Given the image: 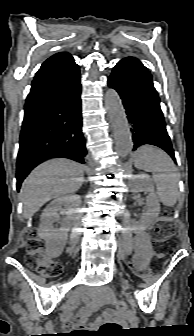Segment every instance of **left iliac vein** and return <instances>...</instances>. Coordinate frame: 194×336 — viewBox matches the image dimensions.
Masks as SVG:
<instances>
[{
	"instance_id": "left-iliac-vein-1",
	"label": "left iliac vein",
	"mask_w": 194,
	"mask_h": 336,
	"mask_svg": "<svg viewBox=\"0 0 194 336\" xmlns=\"http://www.w3.org/2000/svg\"><path fill=\"white\" fill-rule=\"evenodd\" d=\"M121 281L126 287H129V283L124 278L121 277Z\"/></svg>"
}]
</instances>
